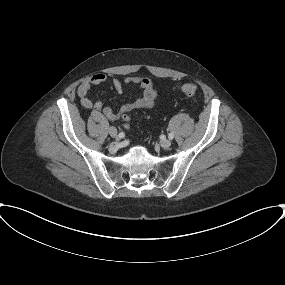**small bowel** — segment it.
I'll return each instance as SVG.
<instances>
[{
  "label": "small bowel",
  "mask_w": 285,
  "mask_h": 285,
  "mask_svg": "<svg viewBox=\"0 0 285 285\" xmlns=\"http://www.w3.org/2000/svg\"><path fill=\"white\" fill-rule=\"evenodd\" d=\"M110 81L114 89L122 93L127 87H139L142 90V95L135 101L123 104L118 112H115L111 107L105 106L102 101H94L89 92L93 86H97ZM77 95L81 105L86 109H94L101 112L107 119L117 121L134 109H151L155 105L157 98V88L154 81L143 76H128L124 79L112 78L106 74H95L85 79L77 89Z\"/></svg>",
  "instance_id": "1"
}]
</instances>
